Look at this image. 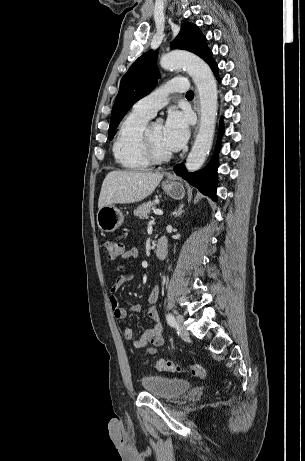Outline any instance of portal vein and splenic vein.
Wrapping results in <instances>:
<instances>
[{
    "instance_id": "obj_1",
    "label": "portal vein and splenic vein",
    "mask_w": 305,
    "mask_h": 461,
    "mask_svg": "<svg viewBox=\"0 0 305 461\" xmlns=\"http://www.w3.org/2000/svg\"><path fill=\"white\" fill-rule=\"evenodd\" d=\"M155 215H163V211L162 210H159V209H156L153 211Z\"/></svg>"
}]
</instances>
